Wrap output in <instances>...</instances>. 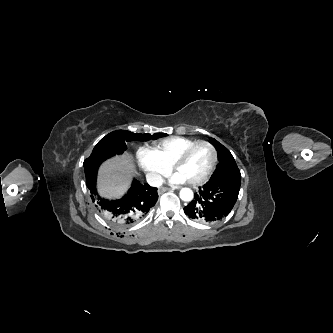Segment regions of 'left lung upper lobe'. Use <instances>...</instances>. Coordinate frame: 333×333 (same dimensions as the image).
<instances>
[{
  "mask_svg": "<svg viewBox=\"0 0 333 333\" xmlns=\"http://www.w3.org/2000/svg\"><path fill=\"white\" fill-rule=\"evenodd\" d=\"M210 143L216 148L218 153V166L213 176L231 169H238L237 164L230 151L217 140L210 138Z\"/></svg>",
  "mask_w": 333,
  "mask_h": 333,
  "instance_id": "left-lung-upper-lobe-1",
  "label": "left lung upper lobe"
}]
</instances>
